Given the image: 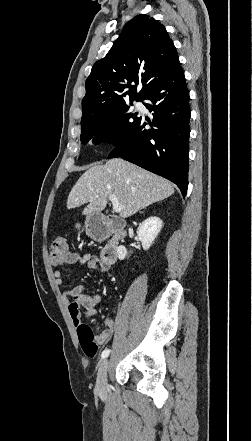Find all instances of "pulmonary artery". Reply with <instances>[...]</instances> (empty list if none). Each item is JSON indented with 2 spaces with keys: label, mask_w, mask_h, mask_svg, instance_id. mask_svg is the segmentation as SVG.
Instances as JSON below:
<instances>
[{
  "label": "pulmonary artery",
  "mask_w": 252,
  "mask_h": 441,
  "mask_svg": "<svg viewBox=\"0 0 252 441\" xmlns=\"http://www.w3.org/2000/svg\"><path fill=\"white\" fill-rule=\"evenodd\" d=\"M142 106V103H137V107L141 108Z\"/></svg>",
  "instance_id": "pulmonary-artery-1"
}]
</instances>
